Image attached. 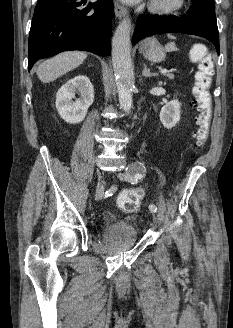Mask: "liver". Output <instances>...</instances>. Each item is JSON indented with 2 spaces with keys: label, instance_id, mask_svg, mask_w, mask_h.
<instances>
[{
  "label": "liver",
  "instance_id": "liver-1",
  "mask_svg": "<svg viewBox=\"0 0 233 328\" xmlns=\"http://www.w3.org/2000/svg\"><path fill=\"white\" fill-rule=\"evenodd\" d=\"M87 54L82 51L63 52L41 63L36 71L38 78L51 82L83 63Z\"/></svg>",
  "mask_w": 233,
  "mask_h": 328
}]
</instances>
